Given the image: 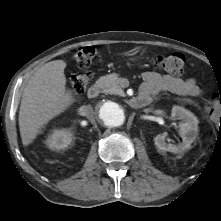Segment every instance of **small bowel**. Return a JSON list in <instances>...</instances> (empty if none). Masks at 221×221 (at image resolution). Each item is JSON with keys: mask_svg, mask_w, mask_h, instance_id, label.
I'll return each instance as SVG.
<instances>
[{"mask_svg": "<svg viewBox=\"0 0 221 221\" xmlns=\"http://www.w3.org/2000/svg\"><path fill=\"white\" fill-rule=\"evenodd\" d=\"M142 79L143 83L140 88L141 94L157 95L162 91H167L192 97H200L203 95V90L193 78L162 75L148 71L143 73Z\"/></svg>", "mask_w": 221, "mask_h": 221, "instance_id": "small-bowel-1", "label": "small bowel"}]
</instances>
